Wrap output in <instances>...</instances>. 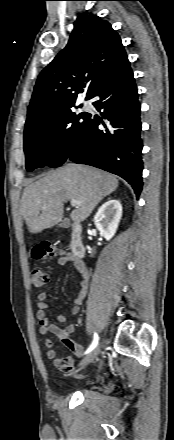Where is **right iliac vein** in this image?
<instances>
[{"label":"right iliac vein","instance_id":"63e3f726","mask_svg":"<svg viewBox=\"0 0 174 440\" xmlns=\"http://www.w3.org/2000/svg\"><path fill=\"white\" fill-rule=\"evenodd\" d=\"M100 352V345L98 344L79 364V369L85 368L87 365L92 363Z\"/></svg>","mask_w":174,"mask_h":440}]
</instances>
